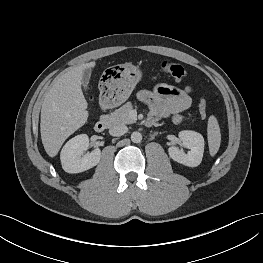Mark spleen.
<instances>
[{
  "label": "spleen",
  "mask_w": 263,
  "mask_h": 263,
  "mask_svg": "<svg viewBox=\"0 0 263 263\" xmlns=\"http://www.w3.org/2000/svg\"><path fill=\"white\" fill-rule=\"evenodd\" d=\"M207 138L210 155L214 156L218 152L221 143L220 128L215 116H210L208 119Z\"/></svg>",
  "instance_id": "spleen-1"
}]
</instances>
